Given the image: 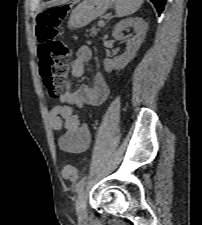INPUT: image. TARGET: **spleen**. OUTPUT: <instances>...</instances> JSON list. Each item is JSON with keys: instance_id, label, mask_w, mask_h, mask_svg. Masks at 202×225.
<instances>
[{"instance_id": "1", "label": "spleen", "mask_w": 202, "mask_h": 225, "mask_svg": "<svg viewBox=\"0 0 202 225\" xmlns=\"http://www.w3.org/2000/svg\"><path fill=\"white\" fill-rule=\"evenodd\" d=\"M118 17H124L135 13L143 4V0H114Z\"/></svg>"}]
</instances>
